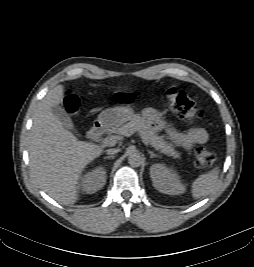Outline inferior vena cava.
Masks as SVG:
<instances>
[{
  "label": "inferior vena cava",
  "mask_w": 254,
  "mask_h": 267,
  "mask_svg": "<svg viewBox=\"0 0 254 267\" xmlns=\"http://www.w3.org/2000/svg\"><path fill=\"white\" fill-rule=\"evenodd\" d=\"M120 152V149L112 148L107 150V154L113 155Z\"/></svg>",
  "instance_id": "inferior-vena-cava-1"
}]
</instances>
